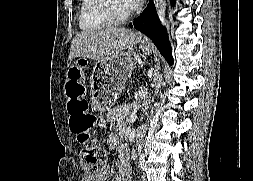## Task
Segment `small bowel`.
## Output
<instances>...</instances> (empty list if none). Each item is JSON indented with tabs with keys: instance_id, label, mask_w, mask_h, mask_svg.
Wrapping results in <instances>:
<instances>
[{
	"instance_id": "obj_1",
	"label": "small bowel",
	"mask_w": 253,
	"mask_h": 181,
	"mask_svg": "<svg viewBox=\"0 0 253 181\" xmlns=\"http://www.w3.org/2000/svg\"><path fill=\"white\" fill-rule=\"evenodd\" d=\"M122 114L123 108H116L109 113V118L111 120H118ZM106 144L108 147L113 148L116 145V137L112 134L109 135L106 139ZM110 174H113L111 181H130V165L126 155H121L116 167L111 164H106L103 169L95 175H82L80 181H104Z\"/></svg>"
}]
</instances>
